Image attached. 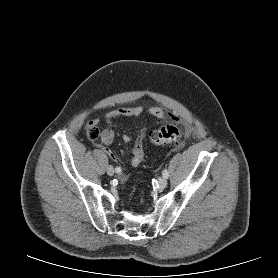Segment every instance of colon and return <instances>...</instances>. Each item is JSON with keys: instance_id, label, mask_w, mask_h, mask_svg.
<instances>
[{"instance_id": "colon-1", "label": "colon", "mask_w": 278, "mask_h": 278, "mask_svg": "<svg viewBox=\"0 0 278 278\" xmlns=\"http://www.w3.org/2000/svg\"><path fill=\"white\" fill-rule=\"evenodd\" d=\"M90 140L95 141L100 136V130L96 124L90 125L87 130ZM181 136V130L177 124H166L150 133V141L155 145H163L176 142Z\"/></svg>"}]
</instances>
